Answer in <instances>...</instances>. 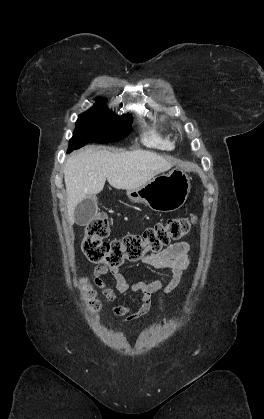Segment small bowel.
I'll list each match as a JSON object with an SVG mask.
<instances>
[{
  "instance_id": "c3829d8e",
  "label": "small bowel",
  "mask_w": 264,
  "mask_h": 419,
  "mask_svg": "<svg viewBox=\"0 0 264 419\" xmlns=\"http://www.w3.org/2000/svg\"><path fill=\"white\" fill-rule=\"evenodd\" d=\"M190 244L181 241L169 245L164 250L146 255L142 262L154 269L168 270L169 275L164 279L152 281H138L133 284L127 282L118 268H109L105 265L97 266L93 271V280L95 285L102 290L108 301L116 298V292L125 294L129 292L140 293L139 306L134 309L130 306H113L110 311L115 316L122 317L124 322H132L145 316L150 308L151 296L159 292V297L173 292L180 284L184 271L188 268ZM110 274L115 282V290L108 287L104 279Z\"/></svg>"
}]
</instances>
